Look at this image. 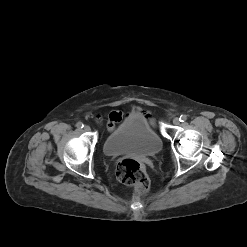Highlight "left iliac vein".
Instances as JSON below:
<instances>
[{
    "label": "left iliac vein",
    "mask_w": 247,
    "mask_h": 247,
    "mask_svg": "<svg viewBox=\"0 0 247 247\" xmlns=\"http://www.w3.org/2000/svg\"><path fill=\"white\" fill-rule=\"evenodd\" d=\"M173 124L174 125H179L180 124V120L178 118H174L173 119Z\"/></svg>",
    "instance_id": "obj_1"
}]
</instances>
